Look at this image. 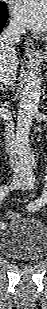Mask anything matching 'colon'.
Masks as SVG:
<instances>
[{
	"instance_id": "colon-1",
	"label": "colon",
	"mask_w": 47,
	"mask_h": 309,
	"mask_svg": "<svg viewBox=\"0 0 47 309\" xmlns=\"http://www.w3.org/2000/svg\"><path fill=\"white\" fill-rule=\"evenodd\" d=\"M7 215L10 219H16L19 216L17 213L12 212V211H9Z\"/></svg>"
}]
</instances>
